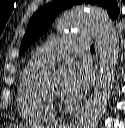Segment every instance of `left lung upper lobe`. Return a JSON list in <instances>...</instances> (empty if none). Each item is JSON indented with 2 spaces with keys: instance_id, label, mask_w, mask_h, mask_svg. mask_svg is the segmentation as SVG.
Here are the masks:
<instances>
[{
  "instance_id": "5c2ea615",
  "label": "left lung upper lobe",
  "mask_w": 125,
  "mask_h": 128,
  "mask_svg": "<svg viewBox=\"0 0 125 128\" xmlns=\"http://www.w3.org/2000/svg\"><path fill=\"white\" fill-rule=\"evenodd\" d=\"M78 4H92L107 10L112 19L119 15L116 0H58L40 8L31 18L21 42L20 55L40 35L49 29L58 13Z\"/></svg>"
}]
</instances>
